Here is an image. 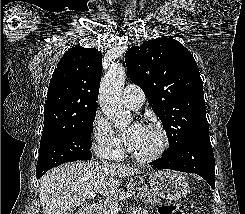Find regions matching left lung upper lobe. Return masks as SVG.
<instances>
[{
  "instance_id": "5c2ea615",
  "label": "left lung upper lobe",
  "mask_w": 245,
  "mask_h": 214,
  "mask_svg": "<svg viewBox=\"0 0 245 214\" xmlns=\"http://www.w3.org/2000/svg\"><path fill=\"white\" fill-rule=\"evenodd\" d=\"M127 76L142 88L169 139L168 152L209 136L203 82L194 57L180 42L161 37L125 54Z\"/></svg>"
}]
</instances>
